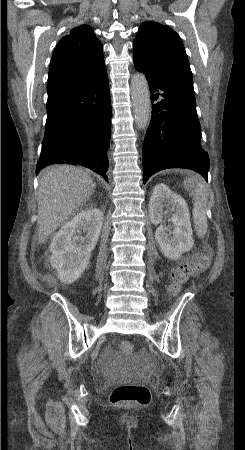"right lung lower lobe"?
Masks as SVG:
<instances>
[{
  "instance_id": "right-lung-lower-lobe-1",
  "label": "right lung lower lobe",
  "mask_w": 245,
  "mask_h": 450,
  "mask_svg": "<svg viewBox=\"0 0 245 450\" xmlns=\"http://www.w3.org/2000/svg\"><path fill=\"white\" fill-rule=\"evenodd\" d=\"M111 102L106 70L47 107V121L36 174L50 164H78L106 181Z\"/></svg>"
}]
</instances>
